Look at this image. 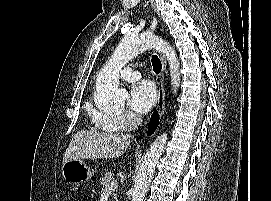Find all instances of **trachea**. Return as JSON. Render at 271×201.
<instances>
[{
  "label": "trachea",
  "mask_w": 271,
  "mask_h": 201,
  "mask_svg": "<svg viewBox=\"0 0 271 201\" xmlns=\"http://www.w3.org/2000/svg\"><path fill=\"white\" fill-rule=\"evenodd\" d=\"M151 62H152V66H153L154 72L156 74H159L161 72V69H162V64H161V61L158 58V56L157 55H153L152 59H151Z\"/></svg>",
  "instance_id": "3493384b"
}]
</instances>
